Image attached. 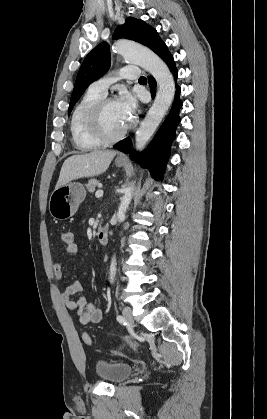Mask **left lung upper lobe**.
<instances>
[{
	"label": "left lung upper lobe",
	"instance_id": "obj_1",
	"mask_svg": "<svg viewBox=\"0 0 267 419\" xmlns=\"http://www.w3.org/2000/svg\"><path fill=\"white\" fill-rule=\"evenodd\" d=\"M113 38H128L149 47L157 55L165 43L157 31L142 20L128 17L124 25L118 26ZM110 67V50L107 42L100 43L84 59L77 74L74 90L71 95L68 112L81 97L86 88L99 79Z\"/></svg>",
	"mask_w": 267,
	"mask_h": 419
}]
</instances>
